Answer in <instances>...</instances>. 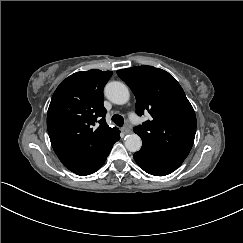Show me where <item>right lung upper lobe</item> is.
<instances>
[{"label": "right lung upper lobe", "mask_w": 243, "mask_h": 243, "mask_svg": "<svg viewBox=\"0 0 243 243\" xmlns=\"http://www.w3.org/2000/svg\"><path fill=\"white\" fill-rule=\"evenodd\" d=\"M111 71L76 72L55 90L47 113L52 147L74 173L89 168L119 140L120 131L105 122L103 88Z\"/></svg>", "instance_id": "right-lung-upper-lobe-1"}]
</instances>
